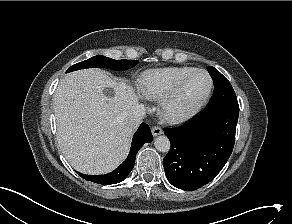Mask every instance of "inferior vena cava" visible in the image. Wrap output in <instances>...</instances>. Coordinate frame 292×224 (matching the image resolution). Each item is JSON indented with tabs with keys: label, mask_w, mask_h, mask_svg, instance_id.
<instances>
[{
	"label": "inferior vena cava",
	"mask_w": 292,
	"mask_h": 224,
	"mask_svg": "<svg viewBox=\"0 0 292 224\" xmlns=\"http://www.w3.org/2000/svg\"><path fill=\"white\" fill-rule=\"evenodd\" d=\"M145 114L146 110L143 104H134L127 115L129 124L136 128L142 122Z\"/></svg>",
	"instance_id": "obj_1"
}]
</instances>
